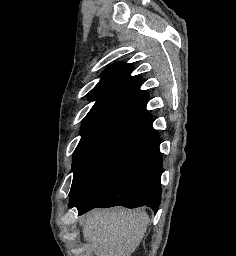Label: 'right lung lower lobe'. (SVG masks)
<instances>
[{
    "label": "right lung lower lobe",
    "mask_w": 236,
    "mask_h": 256,
    "mask_svg": "<svg viewBox=\"0 0 236 256\" xmlns=\"http://www.w3.org/2000/svg\"><path fill=\"white\" fill-rule=\"evenodd\" d=\"M159 134L153 128L109 160L70 200L79 215L95 207L149 206L161 201L162 157Z\"/></svg>",
    "instance_id": "1"
}]
</instances>
